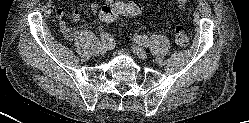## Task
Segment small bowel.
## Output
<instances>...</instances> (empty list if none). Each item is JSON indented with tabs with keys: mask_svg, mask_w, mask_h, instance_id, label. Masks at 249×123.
Masks as SVG:
<instances>
[{
	"mask_svg": "<svg viewBox=\"0 0 249 123\" xmlns=\"http://www.w3.org/2000/svg\"><path fill=\"white\" fill-rule=\"evenodd\" d=\"M114 2H121V1H115V0H105V3H114ZM90 9L92 13L97 14L99 13V5L96 2H92L90 5ZM56 19L59 21V27L61 32L65 36H69L71 34V28L66 24L64 21V13L61 10H58L55 14ZM72 20L74 22H78L81 19V13L78 10L73 11L72 13Z\"/></svg>",
	"mask_w": 249,
	"mask_h": 123,
	"instance_id": "c3829d8e",
	"label": "small bowel"
}]
</instances>
